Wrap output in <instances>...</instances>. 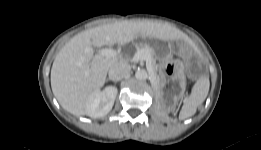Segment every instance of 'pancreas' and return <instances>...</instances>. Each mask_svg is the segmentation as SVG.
Listing matches in <instances>:
<instances>
[{
    "instance_id": "1",
    "label": "pancreas",
    "mask_w": 261,
    "mask_h": 150,
    "mask_svg": "<svg viewBox=\"0 0 261 150\" xmlns=\"http://www.w3.org/2000/svg\"><path fill=\"white\" fill-rule=\"evenodd\" d=\"M141 49H144L147 51V53L150 57L149 65H150L151 73H152L153 77L156 78L157 81H160V78L157 74L158 70H159V66L156 64V60L153 57V50L148 45H145Z\"/></svg>"
}]
</instances>
